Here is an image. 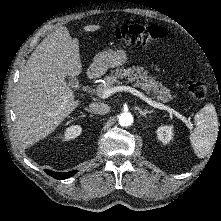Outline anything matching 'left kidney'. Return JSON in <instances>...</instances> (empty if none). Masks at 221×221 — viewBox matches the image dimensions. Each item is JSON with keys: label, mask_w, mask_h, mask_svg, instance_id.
Returning <instances> with one entry per match:
<instances>
[{"label": "left kidney", "mask_w": 221, "mask_h": 221, "mask_svg": "<svg viewBox=\"0 0 221 221\" xmlns=\"http://www.w3.org/2000/svg\"><path fill=\"white\" fill-rule=\"evenodd\" d=\"M157 136L162 143H169L173 138V127L171 125L160 126L157 129Z\"/></svg>", "instance_id": "obj_1"}]
</instances>
